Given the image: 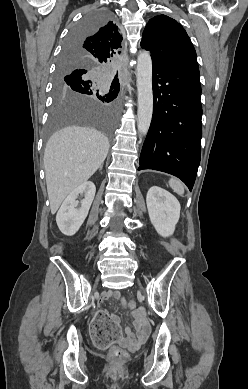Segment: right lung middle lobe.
Instances as JSON below:
<instances>
[{"label": "right lung middle lobe", "instance_id": "dd1d6c3e", "mask_svg": "<svg viewBox=\"0 0 248 389\" xmlns=\"http://www.w3.org/2000/svg\"><path fill=\"white\" fill-rule=\"evenodd\" d=\"M111 17V12L104 9L89 12L71 31L64 49L75 40L93 34L98 28L109 22ZM77 69H85L87 72L69 79L68 75ZM98 70L99 68L95 66L78 62L76 57L71 59L68 65H65L64 58L60 59L48 135L66 126L90 125L99 128L109 138L112 137L115 122L110 109L86 99V96L96 95L102 102H111L118 95L119 87L117 85L112 83L109 89L105 77L94 76ZM101 84L105 85L103 89L99 88Z\"/></svg>", "mask_w": 248, "mask_h": 389}]
</instances>
